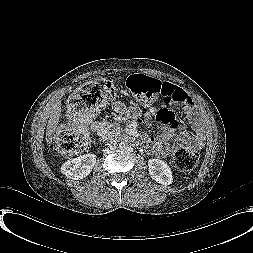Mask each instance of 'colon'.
<instances>
[{"label": "colon", "mask_w": 253, "mask_h": 253, "mask_svg": "<svg viewBox=\"0 0 253 253\" xmlns=\"http://www.w3.org/2000/svg\"><path fill=\"white\" fill-rule=\"evenodd\" d=\"M131 94L141 103L176 102V86L144 74H133L127 80ZM117 96L116 85L107 79L90 81L81 85L68 101L69 121L57 131L55 149L61 155H74L83 152L88 144L84 123L102 106ZM195 151L182 148L174 156L178 171L187 174L197 165Z\"/></svg>", "instance_id": "1"}]
</instances>
